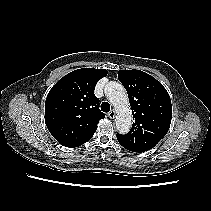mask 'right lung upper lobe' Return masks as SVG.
Listing matches in <instances>:
<instances>
[{"mask_svg": "<svg viewBox=\"0 0 211 211\" xmlns=\"http://www.w3.org/2000/svg\"><path fill=\"white\" fill-rule=\"evenodd\" d=\"M105 69H77L60 79L45 102V123L52 136L65 147H78L89 141L105 114L94 95Z\"/></svg>", "mask_w": 211, "mask_h": 211, "instance_id": "right-lung-upper-lobe-1", "label": "right lung upper lobe"}]
</instances>
